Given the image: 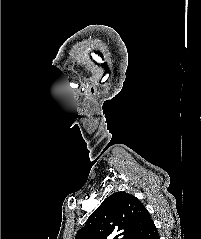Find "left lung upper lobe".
Segmentation results:
<instances>
[{
  "label": "left lung upper lobe",
  "instance_id": "obj_1",
  "mask_svg": "<svg viewBox=\"0 0 201 239\" xmlns=\"http://www.w3.org/2000/svg\"><path fill=\"white\" fill-rule=\"evenodd\" d=\"M150 221L149 212L135 196L116 192L90 215L75 239H136Z\"/></svg>",
  "mask_w": 201,
  "mask_h": 239
}]
</instances>
